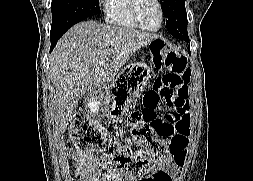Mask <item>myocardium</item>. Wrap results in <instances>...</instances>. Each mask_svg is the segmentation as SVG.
Segmentation results:
<instances>
[{
	"label": "myocardium",
	"instance_id": "1",
	"mask_svg": "<svg viewBox=\"0 0 253 181\" xmlns=\"http://www.w3.org/2000/svg\"><path fill=\"white\" fill-rule=\"evenodd\" d=\"M154 1L158 5L159 11H160V23L158 27L151 29V28L146 27L141 22V19L139 17V5H140L141 0H131L130 12H131L132 19L135 22V24L144 31L157 32L163 27L164 20H165V11H164L163 3L161 2V0H154Z\"/></svg>",
	"mask_w": 253,
	"mask_h": 181
}]
</instances>
